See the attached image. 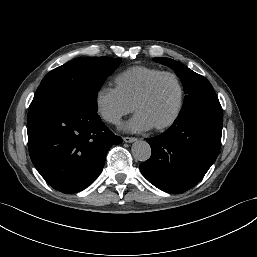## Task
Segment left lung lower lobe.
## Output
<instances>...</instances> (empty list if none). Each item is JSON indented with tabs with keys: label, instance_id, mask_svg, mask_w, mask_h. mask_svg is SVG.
<instances>
[{
	"label": "left lung lower lobe",
	"instance_id": "left-lung-lower-lobe-1",
	"mask_svg": "<svg viewBox=\"0 0 257 257\" xmlns=\"http://www.w3.org/2000/svg\"><path fill=\"white\" fill-rule=\"evenodd\" d=\"M222 126L219 100L178 116L167 131L146 139L152 155L140 164V171L150 183L168 193L189 190L217 158Z\"/></svg>",
	"mask_w": 257,
	"mask_h": 257
}]
</instances>
